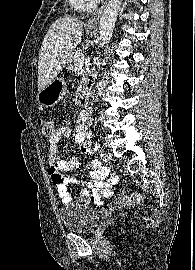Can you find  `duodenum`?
I'll use <instances>...</instances> for the list:
<instances>
[{
	"instance_id": "1",
	"label": "duodenum",
	"mask_w": 195,
	"mask_h": 270,
	"mask_svg": "<svg viewBox=\"0 0 195 270\" xmlns=\"http://www.w3.org/2000/svg\"><path fill=\"white\" fill-rule=\"evenodd\" d=\"M91 88H92V84L89 81L88 84L86 85V88L84 89L81 97H80V104L83 107H86L89 103V98H90V94H91Z\"/></svg>"
}]
</instances>
